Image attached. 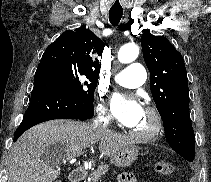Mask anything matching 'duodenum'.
<instances>
[{
    "mask_svg": "<svg viewBox=\"0 0 211 182\" xmlns=\"http://www.w3.org/2000/svg\"><path fill=\"white\" fill-rule=\"evenodd\" d=\"M84 170L82 168H78L73 170L70 173V182H82L83 178H84Z\"/></svg>",
    "mask_w": 211,
    "mask_h": 182,
    "instance_id": "obj_1",
    "label": "duodenum"
}]
</instances>
